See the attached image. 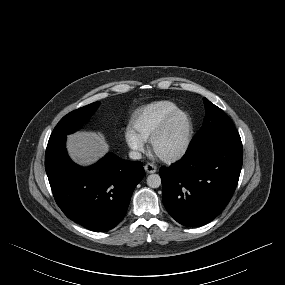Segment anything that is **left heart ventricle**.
I'll list each match as a JSON object with an SVG mask.
<instances>
[{
    "instance_id": "obj_1",
    "label": "left heart ventricle",
    "mask_w": 285,
    "mask_h": 285,
    "mask_svg": "<svg viewBox=\"0 0 285 285\" xmlns=\"http://www.w3.org/2000/svg\"><path fill=\"white\" fill-rule=\"evenodd\" d=\"M187 130V121L184 116H178L173 120L165 134L157 144V150L161 154L176 152L183 144Z\"/></svg>"
}]
</instances>
